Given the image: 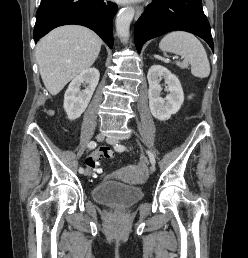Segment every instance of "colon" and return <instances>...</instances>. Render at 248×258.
<instances>
[{
  "instance_id": "obj_1",
  "label": "colon",
  "mask_w": 248,
  "mask_h": 258,
  "mask_svg": "<svg viewBox=\"0 0 248 258\" xmlns=\"http://www.w3.org/2000/svg\"><path fill=\"white\" fill-rule=\"evenodd\" d=\"M98 147L96 151H93L91 155H87V158H85V171L89 179H94L95 175H99V171L101 170L99 160L101 156L113 157V152L110 150L111 148L108 144H99Z\"/></svg>"
}]
</instances>
